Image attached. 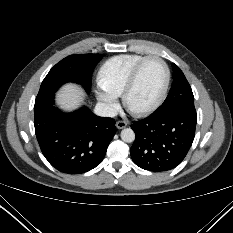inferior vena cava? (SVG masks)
<instances>
[{
	"mask_svg": "<svg viewBox=\"0 0 233 233\" xmlns=\"http://www.w3.org/2000/svg\"><path fill=\"white\" fill-rule=\"evenodd\" d=\"M94 113L102 117H115L116 110L109 104L98 102L95 106Z\"/></svg>",
	"mask_w": 233,
	"mask_h": 233,
	"instance_id": "obj_1",
	"label": "inferior vena cava"
}]
</instances>
